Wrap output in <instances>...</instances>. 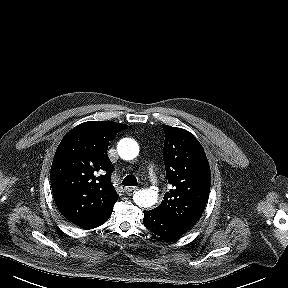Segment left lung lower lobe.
<instances>
[{
  "label": "left lung lower lobe",
  "mask_w": 288,
  "mask_h": 288,
  "mask_svg": "<svg viewBox=\"0 0 288 288\" xmlns=\"http://www.w3.org/2000/svg\"><path fill=\"white\" fill-rule=\"evenodd\" d=\"M144 226L165 240H173L186 233L189 228L170 221L153 209L144 211Z\"/></svg>",
  "instance_id": "obj_1"
}]
</instances>
